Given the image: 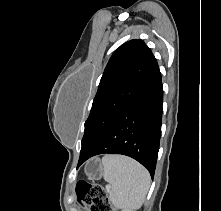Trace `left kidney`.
Instances as JSON below:
<instances>
[{"mask_svg":"<svg viewBox=\"0 0 221 211\" xmlns=\"http://www.w3.org/2000/svg\"><path fill=\"white\" fill-rule=\"evenodd\" d=\"M123 211H131V210H123Z\"/></svg>","mask_w":221,"mask_h":211,"instance_id":"obj_1","label":"left kidney"}]
</instances>
